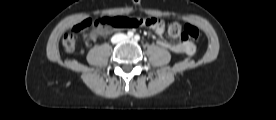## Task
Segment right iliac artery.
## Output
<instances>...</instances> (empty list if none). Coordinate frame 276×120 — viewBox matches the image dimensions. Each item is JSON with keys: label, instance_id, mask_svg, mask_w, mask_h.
I'll use <instances>...</instances> for the list:
<instances>
[{"label": "right iliac artery", "instance_id": "obj_1", "mask_svg": "<svg viewBox=\"0 0 276 120\" xmlns=\"http://www.w3.org/2000/svg\"><path fill=\"white\" fill-rule=\"evenodd\" d=\"M127 35H128V37H133V32L132 31H129L128 33H127Z\"/></svg>", "mask_w": 276, "mask_h": 120}]
</instances>
